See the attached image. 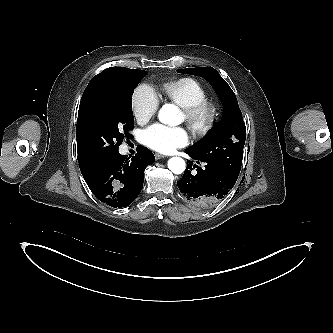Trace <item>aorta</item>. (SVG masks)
Masks as SVG:
<instances>
[{
	"instance_id": "aorta-1",
	"label": "aorta",
	"mask_w": 333,
	"mask_h": 333,
	"mask_svg": "<svg viewBox=\"0 0 333 333\" xmlns=\"http://www.w3.org/2000/svg\"><path fill=\"white\" fill-rule=\"evenodd\" d=\"M179 110L173 104H165L159 110L158 119L163 124L174 126L179 124ZM168 168L174 174H181L186 168L185 161L180 157H172L168 161Z\"/></svg>"
}]
</instances>
